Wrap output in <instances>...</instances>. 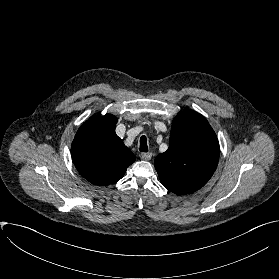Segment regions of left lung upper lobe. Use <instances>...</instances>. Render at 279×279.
Returning <instances> with one entry per match:
<instances>
[{"instance_id":"5c2ea615","label":"left lung upper lobe","mask_w":279,"mask_h":279,"mask_svg":"<svg viewBox=\"0 0 279 279\" xmlns=\"http://www.w3.org/2000/svg\"><path fill=\"white\" fill-rule=\"evenodd\" d=\"M219 143L208 121L193 110L173 120L170 145L155 158L161 183L177 195L193 193L212 177L219 160Z\"/></svg>"}]
</instances>
